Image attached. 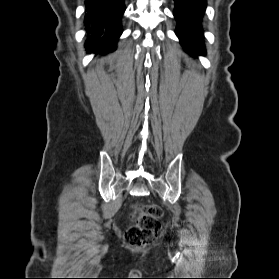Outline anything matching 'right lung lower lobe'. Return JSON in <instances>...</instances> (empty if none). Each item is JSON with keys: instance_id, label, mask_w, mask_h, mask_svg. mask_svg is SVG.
<instances>
[{"instance_id": "1", "label": "right lung lower lobe", "mask_w": 279, "mask_h": 279, "mask_svg": "<svg viewBox=\"0 0 279 279\" xmlns=\"http://www.w3.org/2000/svg\"><path fill=\"white\" fill-rule=\"evenodd\" d=\"M85 4L87 52L114 51L122 33L121 20L126 9L125 0H86Z\"/></svg>"}]
</instances>
